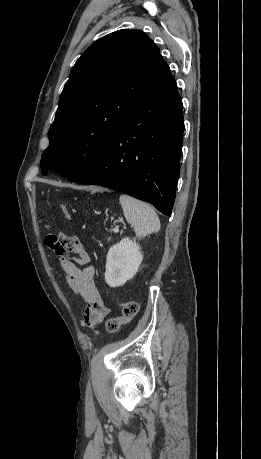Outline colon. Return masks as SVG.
<instances>
[{"label": "colon", "mask_w": 261, "mask_h": 459, "mask_svg": "<svg viewBox=\"0 0 261 459\" xmlns=\"http://www.w3.org/2000/svg\"><path fill=\"white\" fill-rule=\"evenodd\" d=\"M60 211L65 219H70V213L68 208L62 204L60 205ZM122 308V314L118 317H113L107 320L106 330L109 333H116L123 326L132 321V319L138 313V303L135 301H127L120 304Z\"/></svg>", "instance_id": "obj_1"}]
</instances>
